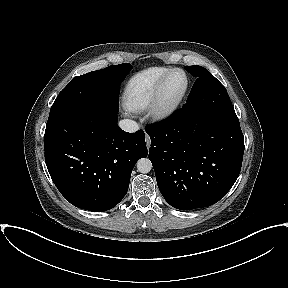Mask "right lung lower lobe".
<instances>
[{"label": "right lung lower lobe", "mask_w": 288, "mask_h": 288, "mask_svg": "<svg viewBox=\"0 0 288 288\" xmlns=\"http://www.w3.org/2000/svg\"><path fill=\"white\" fill-rule=\"evenodd\" d=\"M117 119V114L84 111L46 125L47 169L60 193L78 208L100 212L117 205L136 162L147 156L144 132H125Z\"/></svg>", "instance_id": "obj_1"}]
</instances>
